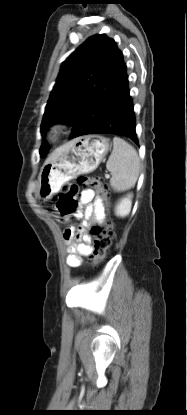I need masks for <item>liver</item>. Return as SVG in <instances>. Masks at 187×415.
<instances>
[{
    "label": "liver",
    "mask_w": 187,
    "mask_h": 415,
    "mask_svg": "<svg viewBox=\"0 0 187 415\" xmlns=\"http://www.w3.org/2000/svg\"><path fill=\"white\" fill-rule=\"evenodd\" d=\"M70 142L69 143H67V144H65V145H63V146H61V147H59V148H57V149H55L52 153H51V155L48 157V159L46 160V162L45 163H48V162H50V161H53V160H55L56 158H58L64 151H66L69 147H70Z\"/></svg>",
    "instance_id": "6515ba94"
}]
</instances>
